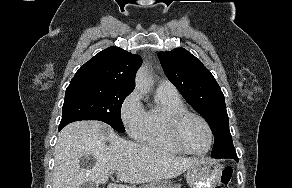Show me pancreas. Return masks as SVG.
I'll use <instances>...</instances> for the list:
<instances>
[{
	"label": "pancreas",
	"mask_w": 292,
	"mask_h": 188,
	"mask_svg": "<svg viewBox=\"0 0 292 188\" xmlns=\"http://www.w3.org/2000/svg\"><path fill=\"white\" fill-rule=\"evenodd\" d=\"M139 188H181L179 184L174 185L171 181L160 180L153 183H148Z\"/></svg>",
	"instance_id": "pancreas-1"
}]
</instances>
